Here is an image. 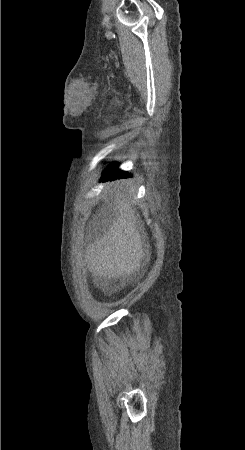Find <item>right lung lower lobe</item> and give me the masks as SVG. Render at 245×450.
Wrapping results in <instances>:
<instances>
[{"instance_id":"98d812e1","label":"right lung lower lobe","mask_w":245,"mask_h":450,"mask_svg":"<svg viewBox=\"0 0 245 450\" xmlns=\"http://www.w3.org/2000/svg\"><path fill=\"white\" fill-rule=\"evenodd\" d=\"M128 176H130V175H128L126 172L119 170L117 168L116 164H112L104 170L103 175H102V180L106 181L108 179L112 180L115 178L128 177Z\"/></svg>"}]
</instances>
